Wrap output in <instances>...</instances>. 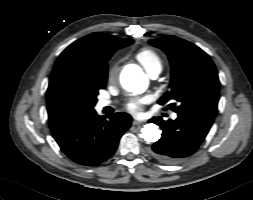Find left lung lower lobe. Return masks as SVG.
<instances>
[{"label": "left lung lower lobe", "instance_id": "0a47b994", "mask_svg": "<svg viewBox=\"0 0 253 200\" xmlns=\"http://www.w3.org/2000/svg\"><path fill=\"white\" fill-rule=\"evenodd\" d=\"M162 129V138L149 153L158 161L175 163L192 155L207 136L214 117L198 113H178L176 120H150Z\"/></svg>", "mask_w": 253, "mask_h": 200}]
</instances>
